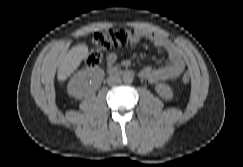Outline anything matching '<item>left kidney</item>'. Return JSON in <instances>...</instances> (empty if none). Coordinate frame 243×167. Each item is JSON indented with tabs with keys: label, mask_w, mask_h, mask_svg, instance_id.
<instances>
[{
	"label": "left kidney",
	"mask_w": 243,
	"mask_h": 167,
	"mask_svg": "<svg viewBox=\"0 0 243 167\" xmlns=\"http://www.w3.org/2000/svg\"><path fill=\"white\" fill-rule=\"evenodd\" d=\"M155 91L161 96L163 99L170 100L173 98V90L170 86L165 84H157L155 86Z\"/></svg>",
	"instance_id": "left-kidney-1"
}]
</instances>
